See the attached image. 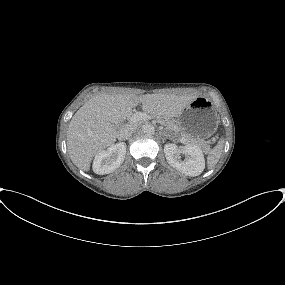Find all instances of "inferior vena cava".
Listing matches in <instances>:
<instances>
[{"label": "inferior vena cava", "mask_w": 285, "mask_h": 285, "mask_svg": "<svg viewBox=\"0 0 285 285\" xmlns=\"http://www.w3.org/2000/svg\"><path fill=\"white\" fill-rule=\"evenodd\" d=\"M135 130L136 128L131 124L124 125L117 131V138L119 140H127Z\"/></svg>", "instance_id": "obj_1"}]
</instances>
